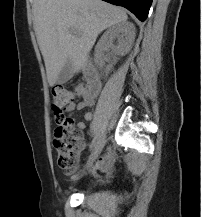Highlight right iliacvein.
<instances>
[{"label": "right iliac vein", "mask_w": 202, "mask_h": 217, "mask_svg": "<svg viewBox=\"0 0 202 217\" xmlns=\"http://www.w3.org/2000/svg\"><path fill=\"white\" fill-rule=\"evenodd\" d=\"M105 143H106V138H105V136H102L98 140L97 144L94 147V150H93V152H92V154H91V156H90V158L88 160V163H87V166H86L87 168L90 167L93 164V162L97 159V157L101 153L103 147L105 146Z\"/></svg>", "instance_id": "1"}]
</instances>
